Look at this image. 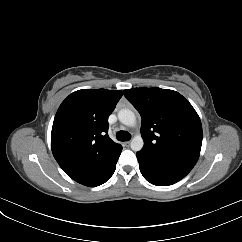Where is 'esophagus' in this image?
I'll list each match as a JSON object with an SVG mask.
<instances>
[{"mask_svg":"<svg viewBox=\"0 0 242 242\" xmlns=\"http://www.w3.org/2000/svg\"><path fill=\"white\" fill-rule=\"evenodd\" d=\"M130 144H131L130 141H127V142L124 143V145H125L126 147H129Z\"/></svg>","mask_w":242,"mask_h":242,"instance_id":"1","label":"esophagus"}]
</instances>
